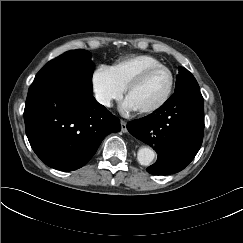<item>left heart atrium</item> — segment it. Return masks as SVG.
I'll return each mask as SVG.
<instances>
[{
	"label": "left heart atrium",
	"mask_w": 243,
	"mask_h": 243,
	"mask_svg": "<svg viewBox=\"0 0 243 243\" xmlns=\"http://www.w3.org/2000/svg\"><path fill=\"white\" fill-rule=\"evenodd\" d=\"M122 109L124 112L129 113L136 110L133 105L126 99L122 104Z\"/></svg>",
	"instance_id": "left-heart-atrium-1"
}]
</instances>
